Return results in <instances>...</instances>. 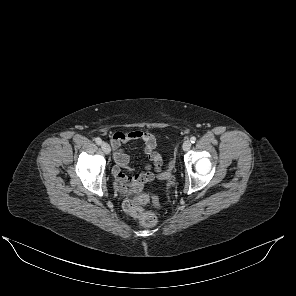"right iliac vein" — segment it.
I'll return each mask as SVG.
<instances>
[{
	"label": "right iliac vein",
	"mask_w": 296,
	"mask_h": 296,
	"mask_svg": "<svg viewBox=\"0 0 296 296\" xmlns=\"http://www.w3.org/2000/svg\"><path fill=\"white\" fill-rule=\"evenodd\" d=\"M101 148H102V150L104 151L105 154H109L110 151H111V148H110L109 144L106 143V142H103L101 144Z\"/></svg>",
	"instance_id": "right-iliac-vein-1"
}]
</instances>
